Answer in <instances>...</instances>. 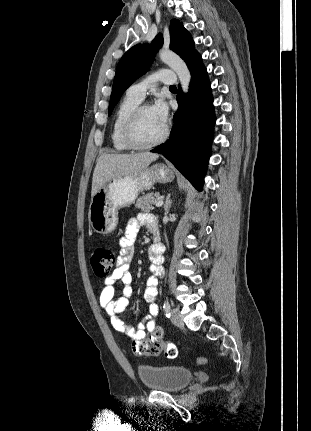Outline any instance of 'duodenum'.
Here are the masks:
<instances>
[{
  "mask_svg": "<svg viewBox=\"0 0 311 431\" xmlns=\"http://www.w3.org/2000/svg\"><path fill=\"white\" fill-rule=\"evenodd\" d=\"M152 233H153V241H154L153 248L155 251H160L161 243H160L159 231L154 230Z\"/></svg>",
  "mask_w": 311,
  "mask_h": 431,
  "instance_id": "1",
  "label": "duodenum"
}]
</instances>
